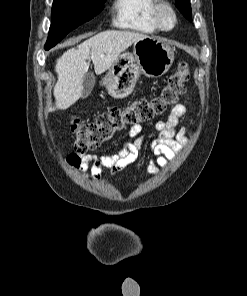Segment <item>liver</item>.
I'll return each mask as SVG.
<instances>
[{
  "label": "liver",
  "mask_w": 247,
  "mask_h": 296,
  "mask_svg": "<svg viewBox=\"0 0 247 296\" xmlns=\"http://www.w3.org/2000/svg\"><path fill=\"white\" fill-rule=\"evenodd\" d=\"M147 37L138 32L109 30L98 33L64 52L57 59L55 66V106L51 107L50 111L68 108L81 98L83 78L89 69L88 60H92L95 73L100 75L113 65L123 51Z\"/></svg>",
  "instance_id": "6515ba94"
}]
</instances>
